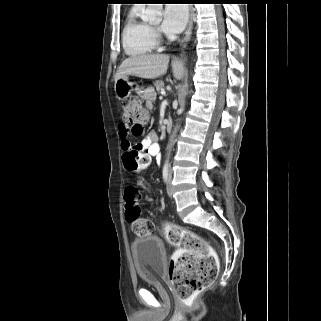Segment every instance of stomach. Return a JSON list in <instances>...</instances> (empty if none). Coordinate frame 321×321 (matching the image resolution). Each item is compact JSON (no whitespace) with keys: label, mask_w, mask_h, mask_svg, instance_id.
Wrapping results in <instances>:
<instances>
[{"label":"stomach","mask_w":321,"mask_h":321,"mask_svg":"<svg viewBox=\"0 0 321 321\" xmlns=\"http://www.w3.org/2000/svg\"><path fill=\"white\" fill-rule=\"evenodd\" d=\"M115 92L120 99L126 98L132 91L137 90L134 83L129 81L128 77H122L115 81Z\"/></svg>","instance_id":"0dacf381"}]
</instances>
